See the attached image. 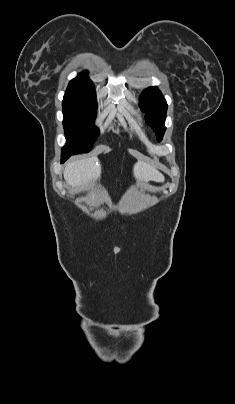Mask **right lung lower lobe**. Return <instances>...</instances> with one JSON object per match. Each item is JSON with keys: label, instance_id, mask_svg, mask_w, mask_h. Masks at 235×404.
Listing matches in <instances>:
<instances>
[{"label": "right lung lower lobe", "instance_id": "obj_1", "mask_svg": "<svg viewBox=\"0 0 235 404\" xmlns=\"http://www.w3.org/2000/svg\"><path fill=\"white\" fill-rule=\"evenodd\" d=\"M71 155L61 156V163H64Z\"/></svg>", "mask_w": 235, "mask_h": 404}]
</instances>
